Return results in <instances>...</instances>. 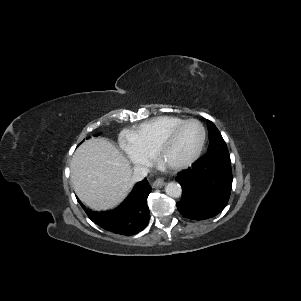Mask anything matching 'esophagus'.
<instances>
[{"instance_id":"34e87169","label":"esophagus","mask_w":301,"mask_h":301,"mask_svg":"<svg viewBox=\"0 0 301 301\" xmlns=\"http://www.w3.org/2000/svg\"><path fill=\"white\" fill-rule=\"evenodd\" d=\"M166 184V180L164 178H157L154 182H153V187L154 188H161Z\"/></svg>"}]
</instances>
